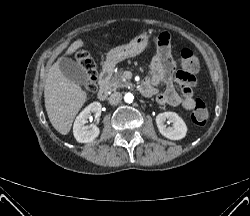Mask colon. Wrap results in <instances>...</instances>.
Wrapping results in <instances>:
<instances>
[{"mask_svg": "<svg viewBox=\"0 0 250 216\" xmlns=\"http://www.w3.org/2000/svg\"><path fill=\"white\" fill-rule=\"evenodd\" d=\"M77 60L88 75V83L86 85L87 92L91 93L95 89V65L92 58L86 51H79L76 54ZM180 63L182 73L186 76H193L198 72L200 64L196 54L189 48H183L180 51ZM208 110L202 100H196L195 106L191 113V120L194 124L203 125L208 120Z\"/></svg>", "mask_w": 250, "mask_h": 216, "instance_id": "1", "label": "colon"}]
</instances>
